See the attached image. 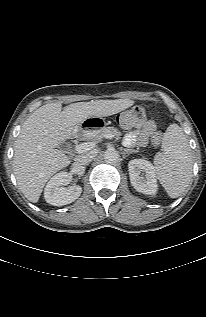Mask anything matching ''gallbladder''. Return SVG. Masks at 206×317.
I'll return each instance as SVG.
<instances>
[{
  "label": "gallbladder",
  "instance_id": "1",
  "mask_svg": "<svg viewBox=\"0 0 206 317\" xmlns=\"http://www.w3.org/2000/svg\"><path fill=\"white\" fill-rule=\"evenodd\" d=\"M59 149H61L62 151L68 153L69 152V146L67 144H61L59 147Z\"/></svg>",
  "mask_w": 206,
  "mask_h": 317
}]
</instances>
